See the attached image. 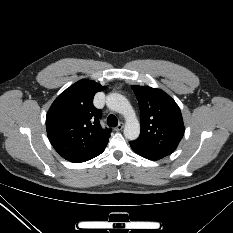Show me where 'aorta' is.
Returning <instances> with one entry per match:
<instances>
[{
  "instance_id": "762f6f07",
  "label": "aorta",
  "mask_w": 233,
  "mask_h": 233,
  "mask_svg": "<svg viewBox=\"0 0 233 233\" xmlns=\"http://www.w3.org/2000/svg\"><path fill=\"white\" fill-rule=\"evenodd\" d=\"M106 105L125 117L124 136L129 140L137 139L140 134V123L128 99L121 94L111 93L107 96Z\"/></svg>"
}]
</instances>
